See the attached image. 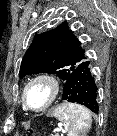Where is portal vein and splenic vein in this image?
<instances>
[{
    "label": "portal vein and splenic vein",
    "mask_w": 117,
    "mask_h": 136,
    "mask_svg": "<svg viewBox=\"0 0 117 136\" xmlns=\"http://www.w3.org/2000/svg\"><path fill=\"white\" fill-rule=\"evenodd\" d=\"M59 135V133L58 132H54V136H58Z\"/></svg>",
    "instance_id": "1"
}]
</instances>
